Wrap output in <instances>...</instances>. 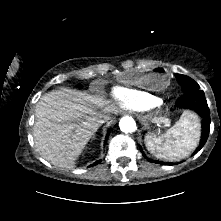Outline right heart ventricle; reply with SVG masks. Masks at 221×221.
Listing matches in <instances>:
<instances>
[{"instance_id":"obj_1","label":"right heart ventricle","mask_w":221,"mask_h":221,"mask_svg":"<svg viewBox=\"0 0 221 221\" xmlns=\"http://www.w3.org/2000/svg\"><path fill=\"white\" fill-rule=\"evenodd\" d=\"M113 98L124 108L142 110L154 107L160 103V98L145 91L118 86L112 90Z\"/></svg>"}]
</instances>
